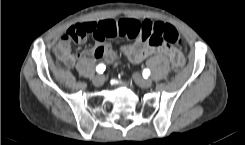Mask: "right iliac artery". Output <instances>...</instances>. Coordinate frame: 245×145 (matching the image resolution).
<instances>
[{
  "instance_id": "82829eb1",
  "label": "right iliac artery",
  "mask_w": 245,
  "mask_h": 145,
  "mask_svg": "<svg viewBox=\"0 0 245 145\" xmlns=\"http://www.w3.org/2000/svg\"><path fill=\"white\" fill-rule=\"evenodd\" d=\"M104 70H105V65L104 64H99L97 67H96V71L98 72V73H103L104 72Z\"/></svg>"
}]
</instances>
